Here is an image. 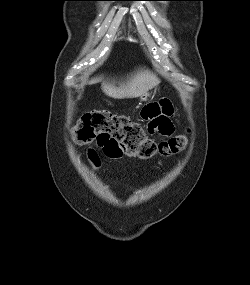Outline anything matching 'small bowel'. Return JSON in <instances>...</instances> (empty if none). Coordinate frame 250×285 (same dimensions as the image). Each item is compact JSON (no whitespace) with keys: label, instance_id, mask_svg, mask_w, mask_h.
Segmentation results:
<instances>
[{"label":"small bowel","instance_id":"small-bowel-1","mask_svg":"<svg viewBox=\"0 0 250 285\" xmlns=\"http://www.w3.org/2000/svg\"><path fill=\"white\" fill-rule=\"evenodd\" d=\"M172 113V106L167 100L145 106L142 110V117L148 121L145 133H149L150 136H155L156 133H161L162 136H171L174 133L170 119ZM90 159L95 165L99 164L98 157L94 152H90Z\"/></svg>","mask_w":250,"mask_h":285}]
</instances>
